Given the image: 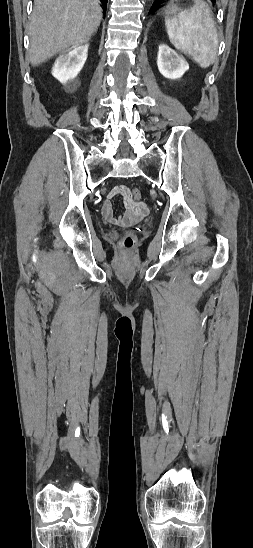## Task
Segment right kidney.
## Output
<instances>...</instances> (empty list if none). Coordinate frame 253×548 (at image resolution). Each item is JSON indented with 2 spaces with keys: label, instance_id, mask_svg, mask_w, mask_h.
<instances>
[{
  "label": "right kidney",
  "instance_id": "obj_1",
  "mask_svg": "<svg viewBox=\"0 0 253 548\" xmlns=\"http://www.w3.org/2000/svg\"><path fill=\"white\" fill-rule=\"evenodd\" d=\"M88 47V44L75 45L63 51L54 63L52 75L67 91H74L79 85L75 78L86 62Z\"/></svg>",
  "mask_w": 253,
  "mask_h": 548
}]
</instances>
